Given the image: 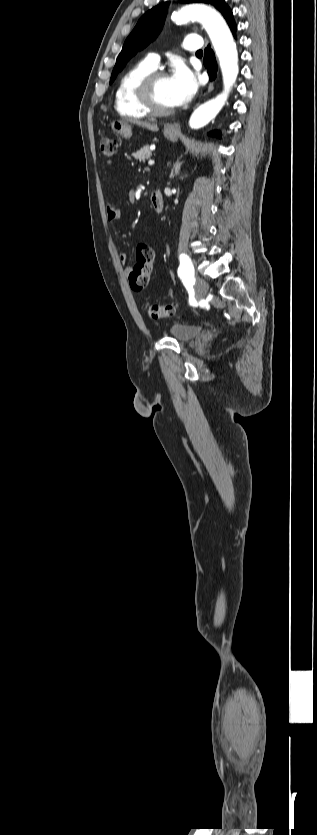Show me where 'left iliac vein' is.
<instances>
[{"mask_svg":"<svg viewBox=\"0 0 317 835\" xmlns=\"http://www.w3.org/2000/svg\"><path fill=\"white\" fill-rule=\"evenodd\" d=\"M208 290H209L208 283L204 279H202L200 277H197L196 284H195L196 298L198 300L203 299L207 295Z\"/></svg>","mask_w":317,"mask_h":835,"instance_id":"obj_1","label":"left iliac vein"}]
</instances>
